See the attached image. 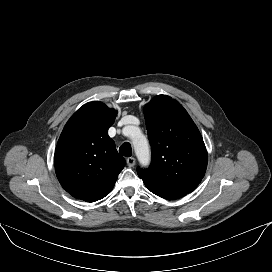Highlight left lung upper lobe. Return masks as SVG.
I'll return each mask as SVG.
<instances>
[{"mask_svg":"<svg viewBox=\"0 0 272 272\" xmlns=\"http://www.w3.org/2000/svg\"><path fill=\"white\" fill-rule=\"evenodd\" d=\"M151 144L149 168H137L146 187L159 197L174 200L192 192L204 177L207 151L203 138L183 106L158 95L144 108Z\"/></svg>","mask_w":272,"mask_h":272,"instance_id":"left-lung-upper-lobe-1","label":"left lung upper lobe"}]
</instances>
